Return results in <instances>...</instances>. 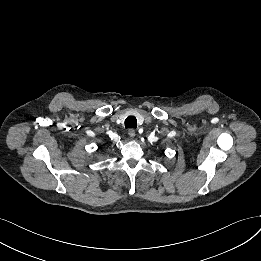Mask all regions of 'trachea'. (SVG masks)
<instances>
[{
	"mask_svg": "<svg viewBox=\"0 0 261 261\" xmlns=\"http://www.w3.org/2000/svg\"><path fill=\"white\" fill-rule=\"evenodd\" d=\"M126 128H136L137 127V119L133 116H129L125 120Z\"/></svg>",
	"mask_w": 261,
	"mask_h": 261,
	"instance_id": "trachea-1",
	"label": "trachea"
}]
</instances>
